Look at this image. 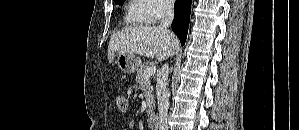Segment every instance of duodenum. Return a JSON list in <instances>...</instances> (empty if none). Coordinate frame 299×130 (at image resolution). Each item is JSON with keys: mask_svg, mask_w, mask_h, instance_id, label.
<instances>
[{"mask_svg": "<svg viewBox=\"0 0 299 130\" xmlns=\"http://www.w3.org/2000/svg\"><path fill=\"white\" fill-rule=\"evenodd\" d=\"M147 123L150 129L157 130L159 125L158 117L155 115H150L147 119Z\"/></svg>", "mask_w": 299, "mask_h": 130, "instance_id": "410a0bca", "label": "duodenum"}]
</instances>
